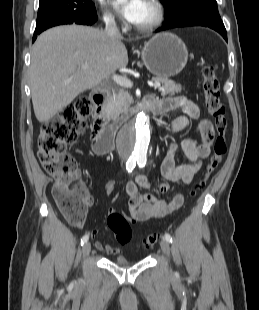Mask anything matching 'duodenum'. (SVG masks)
<instances>
[{"label":"duodenum","mask_w":259,"mask_h":310,"mask_svg":"<svg viewBox=\"0 0 259 310\" xmlns=\"http://www.w3.org/2000/svg\"><path fill=\"white\" fill-rule=\"evenodd\" d=\"M109 97L108 88L96 89L92 94V102L94 105V117L92 126V147L98 154L109 153L114 147L115 127L108 125L107 117V100ZM143 110H149L152 113H164V109L158 101L151 96H145L138 101L134 107L132 114L137 115Z\"/></svg>","instance_id":"1"}]
</instances>
